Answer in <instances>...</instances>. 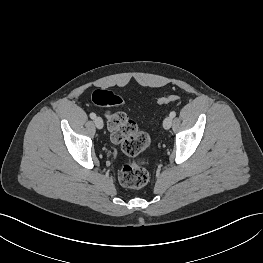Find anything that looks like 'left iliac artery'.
Returning a JSON list of instances; mask_svg holds the SVG:
<instances>
[{
  "label": "left iliac artery",
  "instance_id": "left-iliac-artery-1",
  "mask_svg": "<svg viewBox=\"0 0 263 263\" xmlns=\"http://www.w3.org/2000/svg\"><path fill=\"white\" fill-rule=\"evenodd\" d=\"M175 116H176V112H175V111H172V112L170 113V117L174 118Z\"/></svg>",
  "mask_w": 263,
  "mask_h": 263
}]
</instances>
